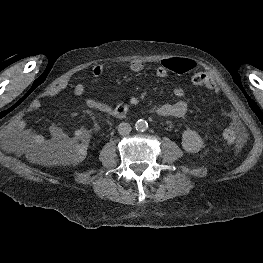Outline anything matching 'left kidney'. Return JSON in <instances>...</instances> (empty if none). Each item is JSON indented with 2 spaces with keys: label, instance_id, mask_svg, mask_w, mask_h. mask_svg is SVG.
I'll return each mask as SVG.
<instances>
[{
  "label": "left kidney",
  "instance_id": "1",
  "mask_svg": "<svg viewBox=\"0 0 263 263\" xmlns=\"http://www.w3.org/2000/svg\"><path fill=\"white\" fill-rule=\"evenodd\" d=\"M181 144L185 151L196 153L203 147L204 142L196 131L187 129L182 133Z\"/></svg>",
  "mask_w": 263,
  "mask_h": 263
}]
</instances>
